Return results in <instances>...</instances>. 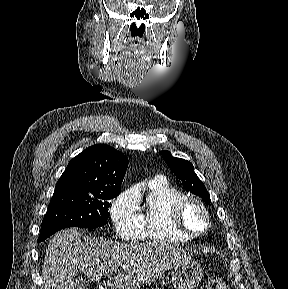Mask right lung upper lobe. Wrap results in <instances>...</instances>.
Here are the masks:
<instances>
[{"label": "right lung upper lobe", "instance_id": "obj_1", "mask_svg": "<svg viewBox=\"0 0 288 289\" xmlns=\"http://www.w3.org/2000/svg\"><path fill=\"white\" fill-rule=\"evenodd\" d=\"M127 166V157L114 148L105 144L93 145L69 162L56 184L55 192L120 191Z\"/></svg>", "mask_w": 288, "mask_h": 289}]
</instances>
